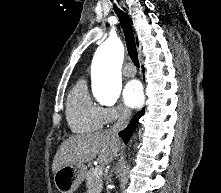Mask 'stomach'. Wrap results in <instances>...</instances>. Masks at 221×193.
I'll use <instances>...</instances> for the list:
<instances>
[{"instance_id": "obj_1", "label": "stomach", "mask_w": 221, "mask_h": 193, "mask_svg": "<svg viewBox=\"0 0 221 193\" xmlns=\"http://www.w3.org/2000/svg\"><path fill=\"white\" fill-rule=\"evenodd\" d=\"M84 165H66L54 174V183L61 193H73L86 177Z\"/></svg>"}]
</instances>
